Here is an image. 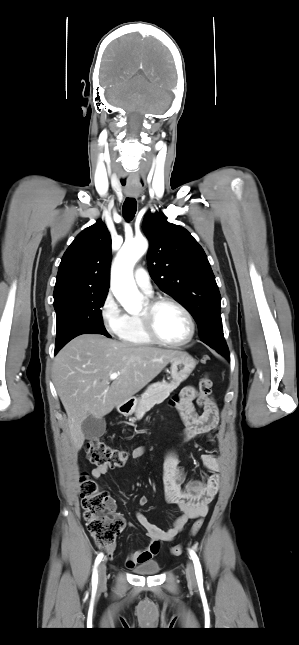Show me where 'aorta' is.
Wrapping results in <instances>:
<instances>
[{
	"label": "aorta",
	"mask_w": 299,
	"mask_h": 645,
	"mask_svg": "<svg viewBox=\"0 0 299 645\" xmlns=\"http://www.w3.org/2000/svg\"><path fill=\"white\" fill-rule=\"evenodd\" d=\"M147 248L148 243L145 239H135L124 243L112 270V292L124 309L131 313L141 308L142 300V295L133 278V267Z\"/></svg>",
	"instance_id": "1"
}]
</instances>
